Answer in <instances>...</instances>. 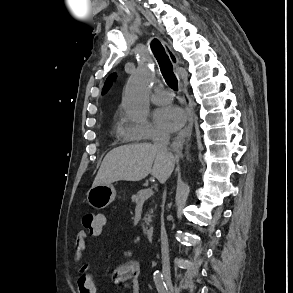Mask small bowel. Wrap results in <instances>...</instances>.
Instances as JSON below:
<instances>
[{
  "mask_svg": "<svg viewBox=\"0 0 293 293\" xmlns=\"http://www.w3.org/2000/svg\"><path fill=\"white\" fill-rule=\"evenodd\" d=\"M103 221L101 230L92 236L98 238L104 234V226L106 219L103 215H99ZM87 233L85 231H78L74 240L75 258L79 262L83 258L87 250L86 245ZM88 269L87 264H82V273L77 279V287L79 293H96V287L90 275L86 273ZM140 265L137 261H128L119 265L113 274V280L116 284L124 285L130 293H141L140 283Z\"/></svg>",
  "mask_w": 293,
  "mask_h": 293,
  "instance_id": "c3829d8e",
  "label": "small bowel"
}]
</instances>
